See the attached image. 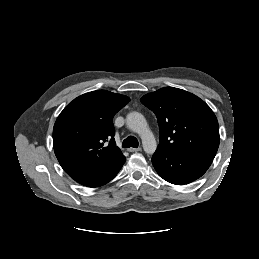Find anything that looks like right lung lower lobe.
Masks as SVG:
<instances>
[{"instance_id":"98d812e1","label":"right lung lower lobe","mask_w":259,"mask_h":259,"mask_svg":"<svg viewBox=\"0 0 259 259\" xmlns=\"http://www.w3.org/2000/svg\"><path fill=\"white\" fill-rule=\"evenodd\" d=\"M126 158L123 155L121 158L107 166L106 168L90 175H82V176H75L72 177L75 181L78 183L88 186V187H99L106 183H108L110 180H112L121 167L123 166Z\"/></svg>"}]
</instances>
